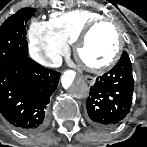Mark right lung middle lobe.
Segmentation results:
<instances>
[{"instance_id":"obj_1","label":"right lung middle lobe","mask_w":147,"mask_h":147,"mask_svg":"<svg viewBox=\"0 0 147 147\" xmlns=\"http://www.w3.org/2000/svg\"><path fill=\"white\" fill-rule=\"evenodd\" d=\"M34 9L24 8L9 17L0 27V70L13 61L28 56L26 23Z\"/></svg>"}]
</instances>
